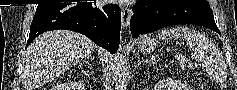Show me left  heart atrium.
<instances>
[{"label": "left heart atrium", "mask_w": 237, "mask_h": 90, "mask_svg": "<svg viewBox=\"0 0 237 90\" xmlns=\"http://www.w3.org/2000/svg\"><path fill=\"white\" fill-rule=\"evenodd\" d=\"M120 3H138L139 0H119Z\"/></svg>", "instance_id": "obj_1"}]
</instances>
